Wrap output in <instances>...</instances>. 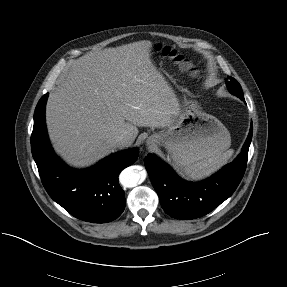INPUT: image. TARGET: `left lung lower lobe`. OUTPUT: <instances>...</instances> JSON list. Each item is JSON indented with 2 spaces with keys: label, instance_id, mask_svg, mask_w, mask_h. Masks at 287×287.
Wrapping results in <instances>:
<instances>
[{
  "label": "left lung lower lobe",
  "instance_id": "obj_1",
  "mask_svg": "<svg viewBox=\"0 0 287 287\" xmlns=\"http://www.w3.org/2000/svg\"><path fill=\"white\" fill-rule=\"evenodd\" d=\"M252 133L251 124L249 135L238 157L201 182L184 181L157 156L147 155L145 166L165 213L176 219H195L208 214L229 198L244 175Z\"/></svg>",
  "mask_w": 287,
  "mask_h": 287
}]
</instances>
